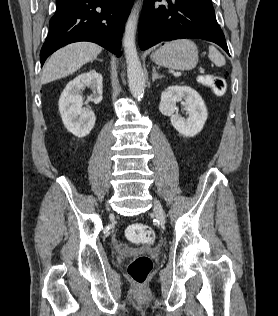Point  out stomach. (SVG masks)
Listing matches in <instances>:
<instances>
[{"label":"stomach","mask_w":278,"mask_h":316,"mask_svg":"<svg viewBox=\"0 0 278 316\" xmlns=\"http://www.w3.org/2000/svg\"><path fill=\"white\" fill-rule=\"evenodd\" d=\"M151 60L171 69L192 70L198 63V49L186 39L168 42L151 54Z\"/></svg>","instance_id":"0dacf381"}]
</instances>
